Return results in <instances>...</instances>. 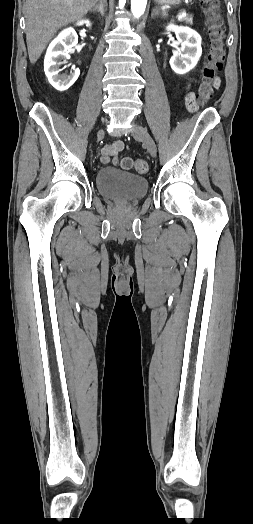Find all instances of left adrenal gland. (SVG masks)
<instances>
[{
  "label": "left adrenal gland",
  "mask_w": 253,
  "mask_h": 524,
  "mask_svg": "<svg viewBox=\"0 0 253 524\" xmlns=\"http://www.w3.org/2000/svg\"><path fill=\"white\" fill-rule=\"evenodd\" d=\"M158 14H159V10H158V8L156 7V8L153 9V11H152V13H151V17L153 18L154 16H156V15H158Z\"/></svg>",
  "instance_id": "a2214340"
}]
</instances>
